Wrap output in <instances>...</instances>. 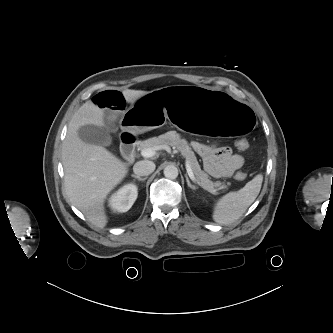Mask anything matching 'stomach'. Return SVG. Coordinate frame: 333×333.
<instances>
[{
	"label": "stomach",
	"instance_id": "obj_1",
	"mask_svg": "<svg viewBox=\"0 0 333 333\" xmlns=\"http://www.w3.org/2000/svg\"><path fill=\"white\" fill-rule=\"evenodd\" d=\"M169 123L204 138L242 139L253 132L256 116L249 105L229 96L178 85L145 94L123 117V128L132 134Z\"/></svg>",
	"mask_w": 333,
	"mask_h": 333
}]
</instances>
